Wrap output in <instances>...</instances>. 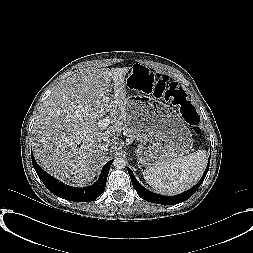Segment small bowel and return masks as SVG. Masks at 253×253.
I'll return each mask as SVG.
<instances>
[{"mask_svg":"<svg viewBox=\"0 0 253 253\" xmlns=\"http://www.w3.org/2000/svg\"><path fill=\"white\" fill-rule=\"evenodd\" d=\"M158 77V75L150 72V78L142 80H133V87L141 91L157 94L156 86Z\"/></svg>","mask_w":253,"mask_h":253,"instance_id":"c3829d8e","label":"small bowel"}]
</instances>
